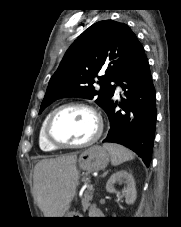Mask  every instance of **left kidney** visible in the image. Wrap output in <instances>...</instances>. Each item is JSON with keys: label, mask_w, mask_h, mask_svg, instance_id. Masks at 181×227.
I'll return each mask as SVG.
<instances>
[{"label": "left kidney", "mask_w": 181, "mask_h": 227, "mask_svg": "<svg viewBox=\"0 0 181 227\" xmlns=\"http://www.w3.org/2000/svg\"><path fill=\"white\" fill-rule=\"evenodd\" d=\"M115 183L126 184V187L124 188L122 193L125 197L126 203L129 205L133 204L136 200V188L132 174L127 172L126 170H120L112 174L106 183L107 192L118 193L114 187Z\"/></svg>", "instance_id": "5707ae66"}]
</instances>
